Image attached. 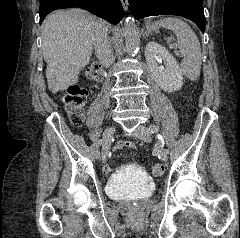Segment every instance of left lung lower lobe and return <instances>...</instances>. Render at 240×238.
Returning a JSON list of instances; mask_svg holds the SVG:
<instances>
[{"mask_svg":"<svg viewBox=\"0 0 240 238\" xmlns=\"http://www.w3.org/2000/svg\"><path fill=\"white\" fill-rule=\"evenodd\" d=\"M129 10L139 20L148 16L177 15L193 21L205 32L203 0H128Z\"/></svg>","mask_w":240,"mask_h":238,"instance_id":"obj_1","label":"left lung lower lobe"}]
</instances>
